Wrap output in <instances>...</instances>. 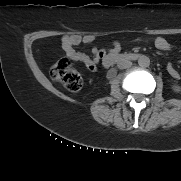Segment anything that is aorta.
I'll return each mask as SVG.
<instances>
[{
	"instance_id": "aorta-1",
	"label": "aorta",
	"mask_w": 181,
	"mask_h": 181,
	"mask_svg": "<svg viewBox=\"0 0 181 181\" xmlns=\"http://www.w3.org/2000/svg\"><path fill=\"white\" fill-rule=\"evenodd\" d=\"M138 64L140 67H148L150 65V59L146 55H142L138 59Z\"/></svg>"
}]
</instances>
